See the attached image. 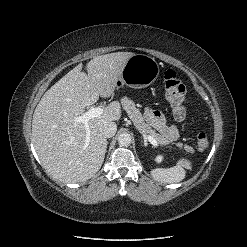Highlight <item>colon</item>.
Wrapping results in <instances>:
<instances>
[{
  "mask_svg": "<svg viewBox=\"0 0 247 247\" xmlns=\"http://www.w3.org/2000/svg\"><path fill=\"white\" fill-rule=\"evenodd\" d=\"M164 81L166 100L172 108L175 119L182 122L186 118L188 109L186 86L178 74L171 69L164 72ZM195 144L197 150H206L209 146L207 134L199 132L196 135Z\"/></svg>",
  "mask_w": 247,
  "mask_h": 247,
  "instance_id": "5ec220e1",
  "label": "colon"
}]
</instances>
